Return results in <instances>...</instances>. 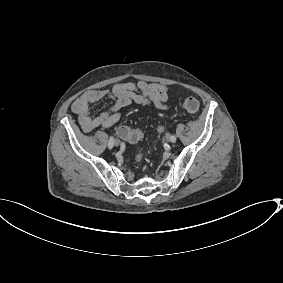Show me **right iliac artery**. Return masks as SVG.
<instances>
[{
	"label": "right iliac artery",
	"instance_id": "obj_1",
	"mask_svg": "<svg viewBox=\"0 0 283 283\" xmlns=\"http://www.w3.org/2000/svg\"><path fill=\"white\" fill-rule=\"evenodd\" d=\"M113 145H114V138H113V137H110L109 142H108V148H109V149H112V148H113Z\"/></svg>",
	"mask_w": 283,
	"mask_h": 283
}]
</instances>
